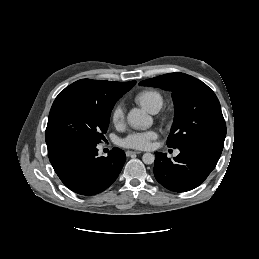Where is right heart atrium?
Returning a JSON list of instances; mask_svg holds the SVG:
<instances>
[{
    "label": "right heart atrium",
    "mask_w": 259,
    "mask_h": 259,
    "mask_svg": "<svg viewBox=\"0 0 259 259\" xmlns=\"http://www.w3.org/2000/svg\"><path fill=\"white\" fill-rule=\"evenodd\" d=\"M110 119H111V122L113 123V125L116 127H121L124 124L125 113H124V109L121 105L116 106L112 110Z\"/></svg>",
    "instance_id": "1"
}]
</instances>
